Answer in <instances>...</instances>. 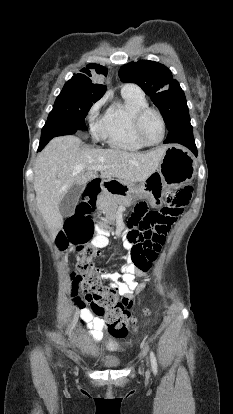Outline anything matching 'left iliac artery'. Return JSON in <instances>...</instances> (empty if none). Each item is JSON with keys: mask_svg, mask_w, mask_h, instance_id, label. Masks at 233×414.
<instances>
[{"mask_svg": "<svg viewBox=\"0 0 233 414\" xmlns=\"http://www.w3.org/2000/svg\"><path fill=\"white\" fill-rule=\"evenodd\" d=\"M150 360H151L152 370H153L154 374H156L157 373V362H156V357H155L153 351L150 352Z\"/></svg>", "mask_w": 233, "mask_h": 414, "instance_id": "44dca946", "label": "left iliac artery"}]
</instances>
